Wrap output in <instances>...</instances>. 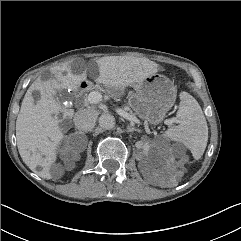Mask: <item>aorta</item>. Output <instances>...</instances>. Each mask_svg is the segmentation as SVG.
Returning a JSON list of instances; mask_svg holds the SVG:
<instances>
[{
    "instance_id": "obj_1",
    "label": "aorta",
    "mask_w": 241,
    "mask_h": 241,
    "mask_svg": "<svg viewBox=\"0 0 241 241\" xmlns=\"http://www.w3.org/2000/svg\"><path fill=\"white\" fill-rule=\"evenodd\" d=\"M99 125L104 129H112L115 126V118L110 113H103L99 117Z\"/></svg>"
}]
</instances>
